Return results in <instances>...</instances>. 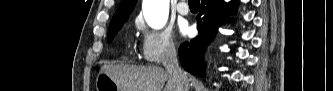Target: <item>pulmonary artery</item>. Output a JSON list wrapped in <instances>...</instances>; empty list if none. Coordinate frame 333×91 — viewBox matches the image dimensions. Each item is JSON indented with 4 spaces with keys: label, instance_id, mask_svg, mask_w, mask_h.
Here are the masks:
<instances>
[{
    "label": "pulmonary artery",
    "instance_id": "pulmonary-artery-1",
    "mask_svg": "<svg viewBox=\"0 0 333 91\" xmlns=\"http://www.w3.org/2000/svg\"><path fill=\"white\" fill-rule=\"evenodd\" d=\"M176 9L178 13L181 15H187L189 13V7L185 1H179L176 6Z\"/></svg>",
    "mask_w": 333,
    "mask_h": 91
}]
</instances>
